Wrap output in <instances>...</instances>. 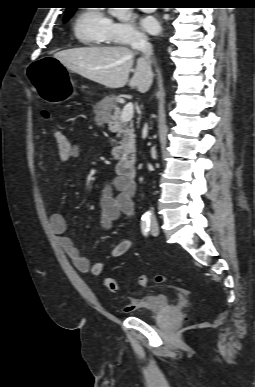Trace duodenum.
Instances as JSON below:
<instances>
[{"instance_id":"1","label":"duodenum","mask_w":255,"mask_h":387,"mask_svg":"<svg viewBox=\"0 0 255 387\" xmlns=\"http://www.w3.org/2000/svg\"><path fill=\"white\" fill-rule=\"evenodd\" d=\"M116 171L121 179L126 182L132 183L137 175L135 158L127 157L120 160L116 165Z\"/></svg>"}]
</instances>
